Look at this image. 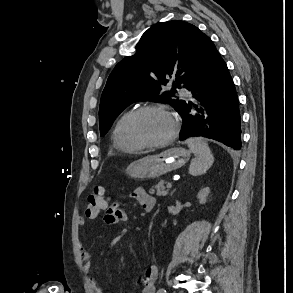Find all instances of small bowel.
<instances>
[{"mask_svg": "<svg viewBox=\"0 0 293 293\" xmlns=\"http://www.w3.org/2000/svg\"><path fill=\"white\" fill-rule=\"evenodd\" d=\"M130 198L139 202L144 211L150 212L155 207V198L147 193L143 188L137 187L133 189L130 194ZM129 216L124 209L119 207L117 204L108 205L107 209L104 213V221L108 224H115L118 222L128 221ZM80 225L83 226L85 224L84 220H80ZM127 230L122 229L118 235L113 237L110 241V246H116L121 239L126 235ZM79 251L81 258L84 261V270L86 272L90 271L91 268V255L86 250V248L80 244ZM158 268L156 265H152L148 267L141 276V284H142V293H155V281L157 277ZM90 286L93 288L95 293H106L105 289L98 284L97 280L93 277L89 278Z\"/></svg>", "mask_w": 293, "mask_h": 293, "instance_id": "c3829d8e", "label": "small bowel"}]
</instances>
